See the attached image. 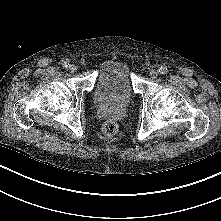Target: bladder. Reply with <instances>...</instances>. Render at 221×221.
<instances>
[{
    "label": "bladder",
    "instance_id": "31cf9c89",
    "mask_svg": "<svg viewBox=\"0 0 221 221\" xmlns=\"http://www.w3.org/2000/svg\"><path fill=\"white\" fill-rule=\"evenodd\" d=\"M132 71V66L125 60L107 59L94 85V102L121 106L130 104L134 98Z\"/></svg>",
    "mask_w": 221,
    "mask_h": 221
}]
</instances>
